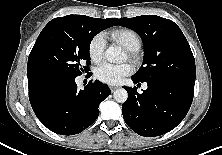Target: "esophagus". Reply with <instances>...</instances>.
Here are the masks:
<instances>
[{
  "label": "esophagus",
  "mask_w": 222,
  "mask_h": 155,
  "mask_svg": "<svg viewBox=\"0 0 222 155\" xmlns=\"http://www.w3.org/2000/svg\"><path fill=\"white\" fill-rule=\"evenodd\" d=\"M109 88H110L111 92H114V91L118 88V86H113V85H112V86H110Z\"/></svg>",
  "instance_id": "obj_1"
}]
</instances>
